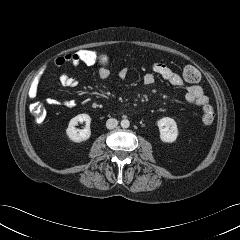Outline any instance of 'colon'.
Returning a JSON list of instances; mask_svg holds the SVG:
<instances>
[{
    "label": "colon",
    "mask_w": 240,
    "mask_h": 240,
    "mask_svg": "<svg viewBox=\"0 0 240 240\" xmlns=\"http://www.w3.org/2000/svg\"><path fill=\"white\" fill-rule=\"evenodd\" d=\"M70 58L74 66H99V67H119L123 64L120 59L114 58L112 55L104 52L95 51L92 49H80L70 53ZM183 77L188 83L199 82L201 75L194 66H186L183 70ZM30 113L35 121L42 122L46 117V110L39 102H33L30 105ZM214 111L212 106L208 105L203 108L201 120L205 125L213 122Z\"/></svg>",
    "instance_id": "obj_1"
}]
</instances>
